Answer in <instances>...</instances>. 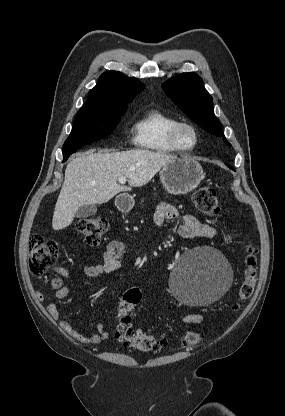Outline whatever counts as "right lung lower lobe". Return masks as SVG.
Listing matches in <instances>:
<instances>
[{"label":"right lung lower lobe","instance_id":"obj_1","mask_svg":"<svg viewBox=\"0 0 285 416\" xmlns=\"http://www.w3.org/2000/svg\"><path fill=\"white\" fill-rule=\"evenodd\" d=\"M74 152H76V151L72 150V149L63 151V162H65L68 159V157Z\"/></svg>","mask_w":285,"mask_h":416}]
</instances>
